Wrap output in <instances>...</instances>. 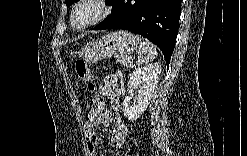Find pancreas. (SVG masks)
Returning <instances> with one entry per match:
<instances>
[{"label":"pancreas","mask_w":247,"mask_h":156,"mask_svg":"<svg viewBox=\"0 0 247 156\" xmlns=\"http://www.w3.org/2000/svg\"><path fill=\"white\" fill-rule=\"evenodd\" d=\"M116 58L124 66H128V61L131 59L127 54H117Z\"/></svg>","instance_id":"1"}]
</instances>
